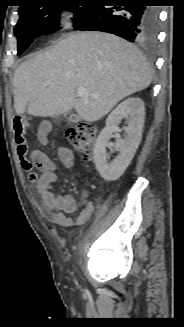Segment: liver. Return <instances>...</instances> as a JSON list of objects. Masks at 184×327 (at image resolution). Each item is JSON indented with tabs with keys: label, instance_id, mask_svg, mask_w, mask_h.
<instances>
[{
	"label": "liver",
	"instance_id": "6515ba94",
	"mask_svg": "<svg viewBox=\"0 0 184 327\" xmlns=\"http://www.w3.org/2000/svg\"><path fill=\"white\" fill-rule=\"evenodd\" d=\"M151 81V68L131 43L108 33L77 32L19 65L14 109L38 117L75 109L81 119L94 122ZM81 87L94 96L77 97Z\"/></svg>",
	"mask_w": 184,
	"mask_h": 327
}]
</instances>
